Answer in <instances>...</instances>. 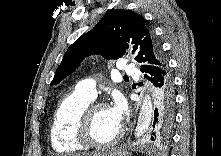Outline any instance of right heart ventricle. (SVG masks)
<instances>
[{
    "instance_id": "obj_1",
    "label": "right heart ventricle",
    "mask_w": 221,
    "mask_h": 156,
    "mask_svg": "<svg viewBox=\"0 0 221 156\" xmlns=\"http://www.w3.org/2000/svg\"><path fill=\"white\" fill-rule=\"evenodd\" d=\"M92 100L74 90L58 105L50 128L51 146L57 153L70 154L83 148L75 138V126L82 110Z\"/></svg>"
}]
</instances>
